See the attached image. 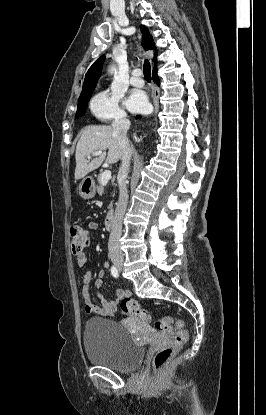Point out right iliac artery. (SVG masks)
Here are the masks:
<instances>
[{"mask_svg":"<svg viewBox=\"0 0 266 415\" xmlns=\"http://www.w3.org/2000/svg\"><path fill=\"white\" fill-rule=\"evenodd\" d=\"M111 274H112V276H113V277H115V278H117V277L119 276V274H118V270H117V268H116V267H114V266H112V267H111Z\"/></svg>","mask_w":266,"mask_h":415,"instance_id":"obj_1","label":"right iliac artery"}]
</instances>
